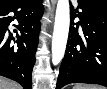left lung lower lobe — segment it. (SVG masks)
<instances>
[{
    "mask_svg": "<svg viewBox=\"0 0 107 89\" xmlns=\"http://www.w3.org/2000/svg\"><path fill=\"white\" fill-rule=\"evenodd\" d=\"M78 5L81 22L70 31L56 89L75 82L107 87V9ZM79 24L84 37L78 34Z\"/></svg>",
    "mask_w": 107,
    "mask_h": 89,
    "instance_id": "obj_1",
    "label": "left lung lower lobe"
}]
</instances>
